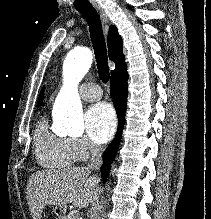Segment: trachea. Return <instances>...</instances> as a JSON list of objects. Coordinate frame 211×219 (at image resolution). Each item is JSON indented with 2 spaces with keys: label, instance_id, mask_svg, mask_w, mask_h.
I'll return each instance as SVG.
<instances>
[{
  "label": "trachea",
  "instance_id": "trachea-1",
  "mask_svg": "<svg viewBox=\"0 0 211 219\" xmlns=\"http://www.w3.org/2000/svg\"><path fill=\"white\" fill-rule=\"evenodd\" d=\"M87 21L89 26L90 37L94 49L95 59L97 62L99 78L103 83H107L110 77L108 68V57L106 43L103 35L100 17L91 4L75 6Z\"/></svg>",
  "mask_w": 211,
  "mask_h": 219
}]
</instances>
